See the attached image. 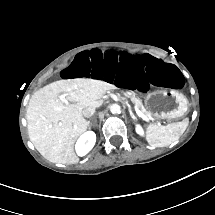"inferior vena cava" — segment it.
Here are the masks:
<instances>
[{
	"mask_svg": "<svg viewBox=\"0 0 215 215\" xmlns=\"http://www.w3.org/2000/svg\"><path fill=\"white\" fill-rule=\"evenodd\" d=\"M95 113V107L88 106L82 110V114L85 118H90Z\"/></svg>",
	"mask_w": 215,
	"mask_h": 215,
	"instance_id": "1",
	"label": "inferior vena cava"
}]
</instances>
